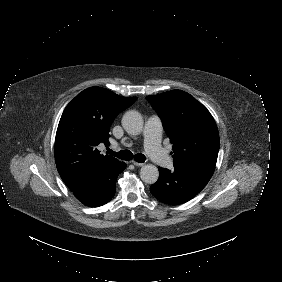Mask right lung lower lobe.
I'll use <instances>...</instances> for the list:
<instances>
[{"label":"right lung lower lobe","mask_w":282,"mask_h":282,"mask_svg":"<svg viewBox=\"0 0 282 282\" xmlns=\"http://www.w3.org/2000/svg\"><path fill=\"white\" fill-rule=\"evenodd\" d=\"M125 168L126 164L120 162L118 165L96 172L72 192L86 206L98 207L104 205L114 196L116 179Z\"/></svg>","instance_id":"right-lung-lower-lobe-1"}]
</instances>
